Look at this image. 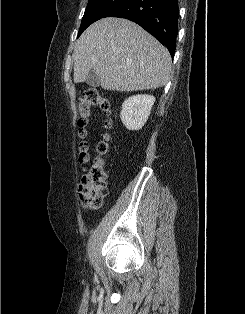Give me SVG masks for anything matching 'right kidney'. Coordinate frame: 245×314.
<instances>
[{"mask_svg": "<svg viewBox=\"0 0 245 314\" xmlns=\"http://www.w3.org/2000/svg\"><path fill=\"white\" fill-rule=\"evenodd\" d=\"M155 97L151 95H136L129 97L122 104L120 118L128 130H140L146 123Z\"/></svg>", "mask_w": 245, "mask_h": 314, "instance_id": "1", "label": "right kidney"}]
</instances>
